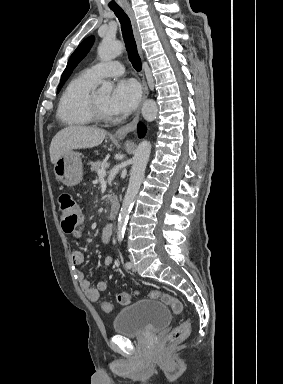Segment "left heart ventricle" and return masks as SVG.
I'll list each match as a JSON object with an SVG mask.
<instances>
[{"label":"left heart ventricle","mask_w":283,"mask_h":384,"mask_svg":"<svg viewBox=\"0 0 283 384\" xmlns=\"http://www.w3.org/2000/svg\"><path fill=\"white\" fill-rule=\"evenodd\" d=\"M101 112L109 117H113L114 115L109 111L108 108V100H109V93H94L93 94Z\"/></svg>","instance_id":"left-heart-ventricle-1"}]
</instances>
